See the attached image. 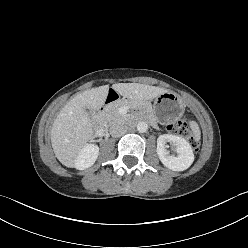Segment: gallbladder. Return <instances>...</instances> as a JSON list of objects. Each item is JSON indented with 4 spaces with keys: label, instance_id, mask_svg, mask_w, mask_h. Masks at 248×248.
<instances>
[{
    "label": "gallbladder",
    "instance_id": "bac80fb5",
    "mask_svg": "<svg viewBox=\"0 0 248 248\" xmlns=\"http://www.w3.org/2000/svg\"><path fill=\"white\" fill-rule=\"evenodd\" d=\"M87 112H88L89 115H92V111H91V110H89V111H87Z\"/></svg>",
    "mask_w": 248,
    "mask_h": 248
}]
</instances>
